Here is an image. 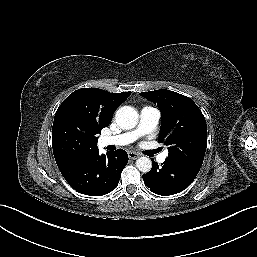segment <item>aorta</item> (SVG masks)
Here are the masks:
<instances>
[{
	"label": "aorta",
	"instance_id": "762f6f07",
	"mask_svg": "<svg viewBox=\"0 0 257 257\" xmlns=\"http://www.w3.org/2000/svg\"><path fill=\"white\" fill-rule=\"evenodd\" d=\"M117 124L125 130L134 128L139 121L138 112L130 106H123L116 112ZM136 167L139 171L147 173L152 168V161L148 157H140L136 160Z\"/></svg>",
	"mask_w": 257,
	"mask_h": 257
}]
</instances>
